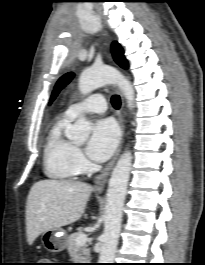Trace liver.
I'll list each match as a JSON object with an SVG mask.
<instances>
[{
  "label": "liver",
  "instance_id": "obj_1",
  "mask_svg": "<svg viewBox=\"0 0 205 265\" xmlns=\"http://www.w3.org/2000/svg\"><path fill=\"white\" fill-rule=\"evenodd\" d=\"M92 190L89 184L79 181L41 180L34 183L26 203L28 244L32 245L48 230L60 229L79 220Z\"/></svg>",
  "mask_w": 205,
  "mask_h": 265
}]
</instances>
